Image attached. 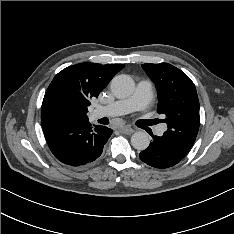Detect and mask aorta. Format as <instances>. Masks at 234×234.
<instances>
[{
    "mask_svg": "<svg viewBox=\"0 0 234 234\" xmlns=\"http://www.w3.org/2000/svg\"><path fill=\"white\" fill-rule=\"evenodd\" d=\"M111 90L117 98L129 97L134 91V82L127 75H118L111 81ZM131 144L137 150H145L150 144L147 133L143 131L135 132L131 136Z\"/></svg>",
    "mask_w": 234,
    "mask_h": 234,
    "instance_id": "762f6f07",
    "label": "aorta"
}]
</instances>
